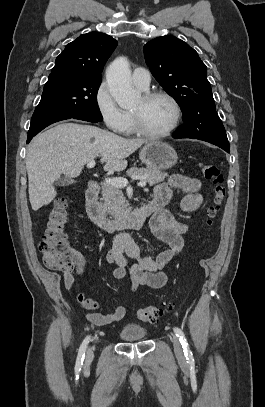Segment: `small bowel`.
Listing matches in <instances>:
<instances>
[{"label":"small bowel","instance_id":"obj_1","mask_svg":"<svg viewBox=\"0 0 265 407\" xmlns=\"http://www.w3.org/2000/svg\"><path fill=\"white\" fill-rule=\"evenodd\" d=\"M201 182L197 178L181 174H172L168 181L155 187L154 199L164 201V205L155 210L150 218L153 235L167 245V249L155 258L142 257L136 243L129 236H120L113 247L107 252L106 260L111 264V274L116 279L128 278L130 289L136 292L141 287L161 288L167 283L165 268L174 261L184 248V235L187 231L185 223L177 220L165 208L171 198L172 189L182 191L185 196L181 207L186 212L197 210L203 197L199 192ZM125 254L136 260L130 265ZM85 259L79 253L75 254L74 273L65 272L63 282L65 288L75 297L77 302L87 311V320L91 325L104 326L122 320L126 315V308L118 306L108 314L97 311L98 303L80 291L77 276L83 273Z\"/></svg>","mask_w":265,"mask_h":407}]
</instances>
